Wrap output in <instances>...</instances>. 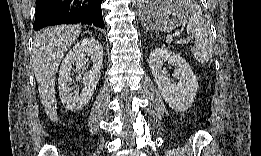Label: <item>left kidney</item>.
Instances as JSON below:
<instances>
[{"mask_svg": "<svg viewBox=\"0 0 261 156\" xmlns=\"http://www.w3.org/2000/svg\"><path fill=\"white\" fill-rule=\"evenodd\" d=\"M165 62L175 65L174 76L178 83L168 78V71L163 68ZM154 81L165 102L177 112L186 111L194 102L198 82L190 65L179 54L167 49L157 48L151 51L148 61Z\"/></svg>", "mask_w": 261, "mask_h": 156, "instance_id": "5707ae66", "label": "left kidney"}]
</instances>
